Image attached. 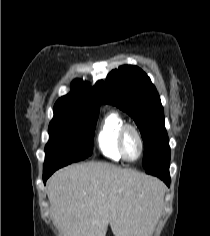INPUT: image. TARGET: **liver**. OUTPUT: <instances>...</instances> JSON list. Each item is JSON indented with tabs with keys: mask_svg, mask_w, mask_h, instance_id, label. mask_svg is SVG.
I'll return each mask as SVG.
<instances>
[{
	"mask_svg": "<svg viewBox=\"0 0 210 236\" xmlns=\"http://www.w3.org/2000/svg\"><path fill=\"white\" fill-rule=\"evenodd\" d=\"M54 223L64 236H150L163 204L157 178L109 163L75 164L47 182Z\"/></svg>",
	"mask_w": 210,
	"mask_h": 236,
	"instance_id": "6515ba94",
	"label": "liver"
}]
</instances>
